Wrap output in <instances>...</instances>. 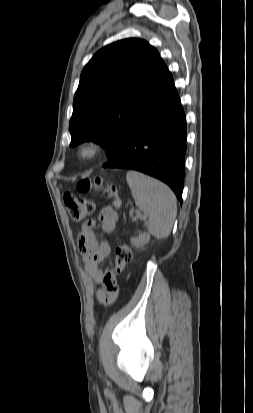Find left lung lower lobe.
<instances>
[{
    "mask_svg": "<svg viewBox=\"0 0 253 413\" xmlns=\"http://www.w3.org/2000/svg\"><path fill=\"white\" fill-rule=\"evenodd\" d=\"M186 117L169 70L131 117L117 156L105 168L133 169L168 184L182 202L186 153Z\"/></svg>",
    "mask_w": 253,
    "mask_h": 413,
    "instance_id": "0a47b994",
    "label": "left lung lower lobe"
}]
</instances>
